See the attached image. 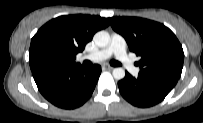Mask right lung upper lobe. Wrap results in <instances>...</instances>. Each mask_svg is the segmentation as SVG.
I'll return each mask as SVG.
<instances>
[{"instance_id":"right-lung-upper-lobe-1","label":"right lung upper lobe","mask_w":203,"mask_h":123,"mask_svg":"<svg viewBox=\"0 0 203 123\" xmlns=\"http://www.w3.org/2000/svg\"><path fill=\"white\" fill-rule=\"evenodd\" d=\"M109 25L107 19L91 15H67L50 20L34 35L31 43L49 39L63 46L69 60L76 64V55L82 52L95 32Z\"/></svg>"}]
</instances>
